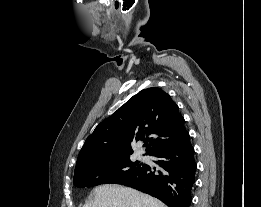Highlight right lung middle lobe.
<instances>
[{
    "label": "right lung middle lobe",
    "instance_id": "obj_1",
    "mask_svg": "<svg viewBox=\"0 0 261 207\" xmlns=\"http://www.w3.org/2000/svg\"><path fill=\"white\" fill-rule=\"evenodd\" d=\"M145 164L130 161L127 155L103 158L75 169L73 183L76 187H92L105 183H119L139 172Z\"/></svg>",
    "mask_w": 261,
    "mask_h": 207
}]
</instances>
